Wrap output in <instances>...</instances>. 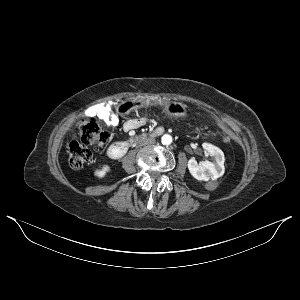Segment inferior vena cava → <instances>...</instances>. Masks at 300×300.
<instances>
[{
  "mask_svg": "<svg viewBox=\"0 0 300 300\" xmlns=\"http://www.w3.org/2000/svg\"><path fill=\"white\" fill-rule=\"evenodd\" d=\"M156 144V139L154 137L144 138L139 140L140 146H152Z\"/></svg>",
  "mask_w": 300,
  "mask_h": 300,
  "instance_id": "obj_1",
  "label": "inferior vena cava"
}]
</instances>
